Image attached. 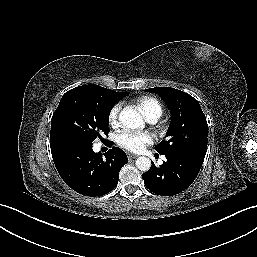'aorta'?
<instances>
[{"label":"aorta","instance_id":"aorta-1","mask_svg":"<svg viewBox=\"0 0 257 257\" xmlns=\"http://www.w3.org/2000/svg\"><path fill=\"white\" fill-rule=\"evenodd\" d=\"M120 123L126 128L137 129L143 126L142 116L136 110L125 107L119 114ZM136 167L146 172L151 168V160L148 157L141 156L136 160Z\"/></svg>","mask_w":257,"mask_h":257}]
</instances>
